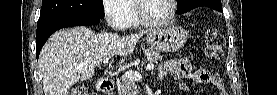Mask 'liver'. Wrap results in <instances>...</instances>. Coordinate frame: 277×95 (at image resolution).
Here are the masks:
<instances>
[{
    "label": "liver",
    "instance_id": "1",
    "mask_svg": "<svg viewBox=\"0 0 277 95\" xmlns=\"http://www.w3.org/2000/svg\"><path fill=\"white\" fill-rule=\"evenodd\" d=\"M145 34L129 36L112 33L95 34L83 26L55 32L43 46L39 63L45 95H66L79 80L94 76L95 67L114 55L120 63L133 53L136 43Z\"/></svg>",
    "mask_w": 277,
    "mask_h": 95
}]
</instances>
